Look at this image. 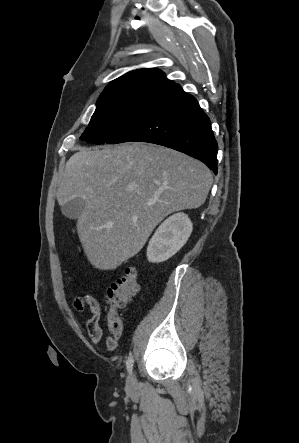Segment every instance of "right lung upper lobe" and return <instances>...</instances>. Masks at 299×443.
Instances as JSON below:
<instances>
[{"instance_id":"cb5924a9","label":"right lung upper lobe","mask_w":299,"mask_h":443,"mask_svg":"<svg viewBox=\"0 0 299 443\" xmlns=\"http://www.w3.org/2000/svg\"><path fill=\"white\" fill-rule=\"evenodd\" d=\"M166 75L155 68H141L130 71L107 85L104 92L124 88L158 87L168 89L175 85Z\"/></svg>"}]
</instances>
